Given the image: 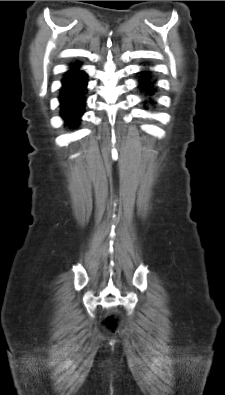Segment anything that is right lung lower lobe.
<instances>
[{
  "label": "right lung lower lobe",
  "instance_id": "1",
  "mask_svg": "<svg viewBox=\"0 0 225 395\" xmlns=\"http://www.w3.org/2000/svg\"><path fill=\"white\" fill-rule=\"evenodd\" d=\"M87 74L73 65L62 80L59 101L61 117L69 127L76 126L84 113L87 94Z\"/></svg>",
  "mask_w": 225,
  "mask_h": 395
}]
</instances>
